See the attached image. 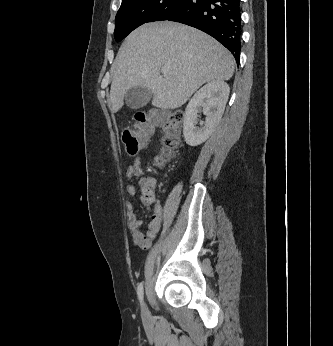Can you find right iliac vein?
I'll list each match as a JSON object with an SVG mask.
<instances>
[{
  "label": "right iliac vein",
  "instance_id": "right-iliac-vein-1",
  "mask_svg": "<svg viewBox=\"0 0 333 346\" xmlns=\"http://www.w3.org/2000/svg\"><path fill=\"white\" fill-rule=\"evenodd\" d=\"M142 318L145 324L150 323L151 314L146 304H143L142 306Z\"/></svg>",
  "mask_w": 333,
  "mask_h": 346
}]
</instances>
